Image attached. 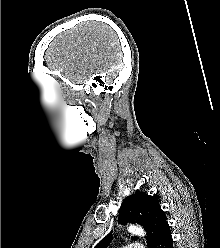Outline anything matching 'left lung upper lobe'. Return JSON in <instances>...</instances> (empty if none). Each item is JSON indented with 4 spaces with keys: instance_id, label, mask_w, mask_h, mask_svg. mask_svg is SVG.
Instances as JSON below:
<instances>
[{
    "instance_id": "1",
    "label": "left lung upper lobe",
    "mask_w": 220,
    "mask_h": 248,
    "mask_svg": "<svg viewBox=\"0 0 220 248\" xmlns=\"http://www.w3.org/2000/svg\"><path fill=\"white\" fill-rule=\"evenodd\" d=\"M166 220V215L159 205L158 198L144 192L126 197L118 217L119 224L125 225L129 222L142 225L147 231L146 239L149 248H153L165 227L168 226ZM111 233L103 238L95 248H106L112 241ZM131 239L136 240L137 237L134 236Z\"/></svg>"
}]
</instances>
